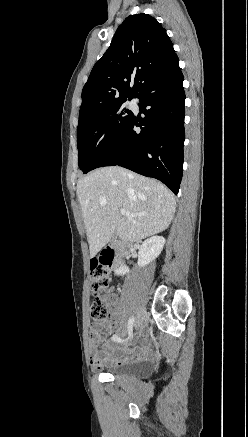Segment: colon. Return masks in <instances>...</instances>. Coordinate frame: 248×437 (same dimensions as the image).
<instances>
[{
    "instance_id": "obj_1",
    "label": "colon",
    "mask_w": 248,
    "mask_h": 437,
    "mask_svg": "<svg viewBox=\"0 0 248 437\" xmlns=\"http://www.w3.org/2000/svg\"><path fill=\"white\" fill-rule=\"evenodd\" d=\"M112 263L106 257H96L90 262V285L93 292V300L90 306L92 319L100 325L107 318V310L100 294L108 284L109 268Z\"/></svg>"
}]
</instances>
